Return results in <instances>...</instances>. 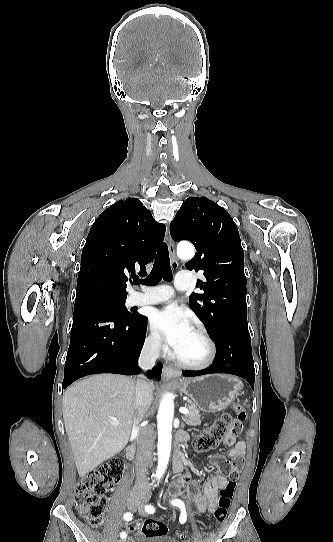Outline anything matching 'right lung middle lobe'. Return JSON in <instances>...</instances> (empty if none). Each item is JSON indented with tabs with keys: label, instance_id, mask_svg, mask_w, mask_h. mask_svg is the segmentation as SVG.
<instances>
[{
	"label": "right lung middle lobe",
	"instance_id": "dd1d6c3e",
	"mask_svg": "<svg viewBox=\"0 0 333 542\" xmlns=\"http://www.w3.org/2000/svg\"><path fill=\"white\" fill-rule=\"evenodd\" d=\"M89 297H95L97 300L101 301L103 304L107 305L114 313L123 318H136L139 317L138 313L131 310L129 312L125 308L126 296H121L113 293L107 292H96L88 294Z\"/></svg>",
	"mask_w": 333,
	"mask_h": 542
}]
</instances>
